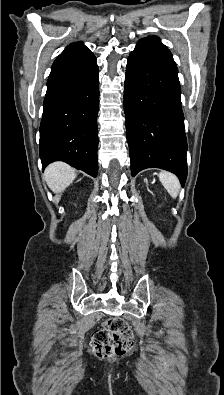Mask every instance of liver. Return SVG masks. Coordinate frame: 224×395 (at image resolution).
<instances>
[{
	"mask_svg": "<svg viewBox=\"0 0 224 395\" xmlns=\"http://www.w3.org/2000/svg\"><path fill=\"white\" fill-rule=\"evenodd\" d=\"M76 178V170L64 162H54L44 171V179L54 193L63 192Z\"/></svg>",
	"mask_w": 224,
	"mask_h": 395,
	"instance_id": "1",
	"label": "liver"
}]
</instances>
